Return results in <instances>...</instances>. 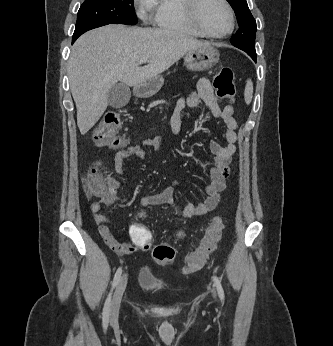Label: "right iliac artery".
Wrapping results in <instances>:
<instances>
[{
    "mask_svg": "<svg viewBox=\"0 0 333 346\" xmlns=\"http://www.w3.org/2000/svg\"><path fill=\"white\" fill-rule=\"evenodd\" d=\"M122 274V268H118V270L115 273L114 279H113V283H112V290L116 287V285L118 284L120 277ZM111 295H112V291L109 293L106 301H105V305L103 308V326L106 328L108 325V321H109V316H110V306H111Z\"/></svg>",
    "mask_w": 333,
    "mask_h": 346,
    "instance_id": "right-iliac-artery-1",
    "label": "right iliac artery"
}]
</instances>
